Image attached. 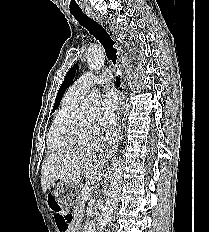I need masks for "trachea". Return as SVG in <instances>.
Masks as SVG:
<instances>
[{"mask_svg":"<svg viewBox=\"0 0 209 232\" xmlns=\"http://www.w3.org/2000/svg\"><path fill=\"white\" fill-rule=\"evenodd\" d=\"M71 14L79 22L80 25L85 27L90 34H92L104 47L106 56L113 63H116L117 50L114 48V41L108 34V32L95 20L86 15L82 10L73 11ZM117 83L120 85V80L117 77Z\"/></svg>","mask_w":209,"mask_h":232,"instance_id":"obj_1","label":"trachea"}]
</instances>
